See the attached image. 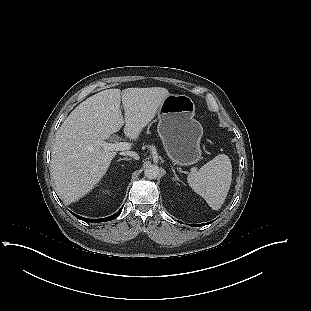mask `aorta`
<instances>
[{"mask_svg":"<svg viewBox=\"0 0 311 311\" xmlns=\"http://www.w3.org/2000/svg\"><path fill=\"white\" fill-rule=\"evenodd\" d=\"M144 175L148 179H156L160 175V169L157 165L150 164L145 168Z\"/></svg>","mask_w":311,"mask_h":311,"instance_id":"obj_1","label":"aorta"}]
</instances>
